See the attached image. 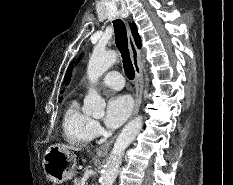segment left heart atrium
<instances>
[{"label":"left heart atrium","mask_w":233,"mask_h":185,"mask_svg":"<svg viewBox=\"0 0 233 185\" xmlns=\"http://www.w3.org/2000/svg\"><path fill=\"white\" fill-rule=\"evenodd\" d=\"M132 102L126 95H115L107 103L104 122L109 128L119 127L130 115Z\"/></svg>","instance_id":"left-heart-atrium-1"}]
</instances>
